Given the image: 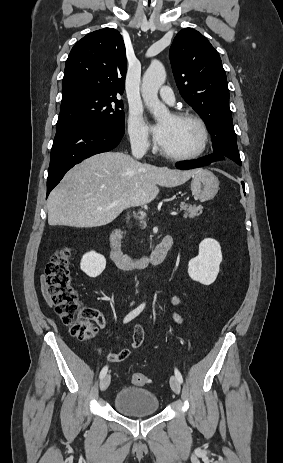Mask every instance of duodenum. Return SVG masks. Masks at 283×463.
I'll return each mask as SVG.
<instances>
[{"label":"duodenum","mask_w":283,"mask_h":463,"mask_svg":"<svg viewBox=\"0 0 283 463\" xmlns=\"http://www.w3.org/2000/svg\"><path fill=\"white\" fill-rule=\"evenodd\" d=\"M173 245V237L168 234L156 246L154 251L148 256H131L121 250V232L112 229L110 234V259L119 268L143 269L148 264L154 266L164 262L168 250Z\"/></svg>","instance_id":"obj_1"}]
</instances>
